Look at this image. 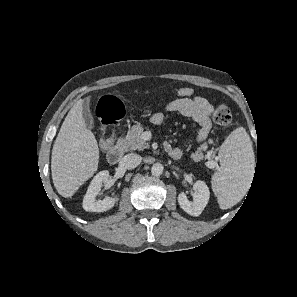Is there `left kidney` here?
Here are the masks:
<instances>
[{"mask_svg":"<svg viewBox=\"0 0 297 297\" xmlns=\"http://www.w3.org/2000/svg\"><path fill=\"white\" fill-rule=\"evenodd\" d=\"M195 193L193 201H189L184 192L178 195V203L180 207L189 215L199 216L209 201V188L203 181H196L194 183Z\"/></svg>","mask_w":297,"mask_h":297,"instance_id":"obj_1","label":"left kidney"}]
</instances>
